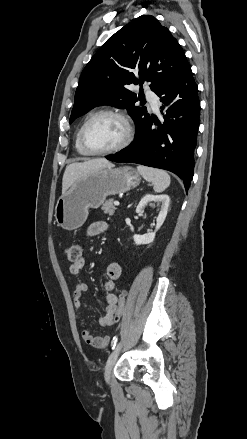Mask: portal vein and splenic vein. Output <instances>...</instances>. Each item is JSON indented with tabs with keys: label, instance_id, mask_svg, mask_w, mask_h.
I'll list each match as a JSON object with an SVG mask.
<instances>
[{
	"label": "portal vein and splenic vein",
	"instance_id": "obj_1",
	"mask_svg": "<svg viewBox=\"0 0 247 439\" xmlns=\"http://www.w3.org/2000/svg\"><path fill=\"white\" fill-rule=\"evenodd\" d=\"M119 204H120V203H119L118 201H115V202H114V205H115V206H119Z\"/></svg>",
	"mask_w": 247,
	"mask_h": 439
}]
</instances>
